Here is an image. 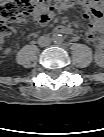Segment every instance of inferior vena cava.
<instances>
[{
    "instance_id": "1",
    "label": "inferior vena cava",
    "mask_w": 104,
    "mask_h": 137,
    "mask_svg": "<svg viewBox=\"0 0 104 137\" xmlns=\"http://www.w3.org/2000/svg\"><path fill=\"white\" fill-rule=\"evenodd\" d=\"M39 45H40L42 48H47V47L50 45V40H49L47 37H42V38L39 40Z\"/></svg>"
}]
</instances>
